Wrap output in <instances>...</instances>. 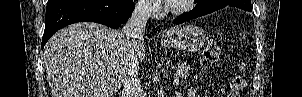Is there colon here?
Returning a JSON list of instances; mask_svg holds the SVG:
<instances>
[{"instance_id":"1","label":"colon","mask_w":302,"mask_h":97,"mask_svg":"<svg viewBox=\"0 0 302 97\" xmlns=\"http://www.w3.org/2000/svg\"><path fill=\"white\" fill-rule=\"evenodd\" d=\"M220 47L219 45L211 41L209 42L203 50L201 63L204 68H211L219 59ZM246 87L245 80L240 76H235L230 81L231 93L229 97H241V93Z\"/></svg>"}]
</instances>
